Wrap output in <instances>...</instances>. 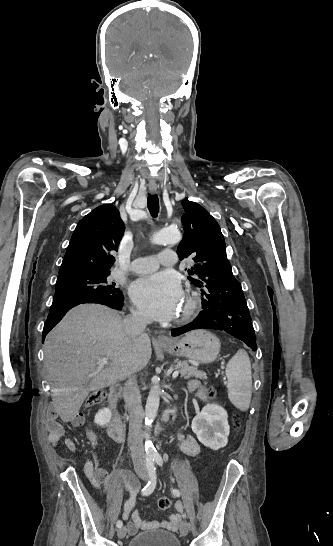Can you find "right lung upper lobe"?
<instances>
[{
	"instance_id": "1",
	"label": "right lung upper lobe",
	"mask_w": 333,
	"mask_h": 546,
	"mask_svg": "<svg viewBox=\"0 0 333 546\" xmlns=\"http://www.w3.org/2000/svg\"><path fill=\"white\" fill-rule=\"evenodd\" d=\"M125 230L119 211L101 205L81 219L73 232L59 276L81 272H110Z\"/></svg>"
}]
</instances>
